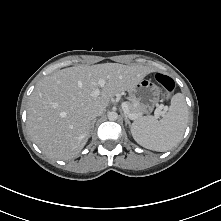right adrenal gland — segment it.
Returning a JSON list of instances; mask_svg holds the SVG:
<instances>
[{"instance_id":"right-adrenal-gland-1","label":"right adrenal gland","mask_w":221,"mask_h":221,"mask_svg":"<svg viewBox=\"0 0 221 221\" xmlns=\"http://www.w3.org/2000/svg\"><path fill=\"white\" fill-rule=\"evenodd\" d=\"M95 122H96V119H94V120L92 121V123H91L90 134L93 133Z\"/></svg>"}]
</instances>
